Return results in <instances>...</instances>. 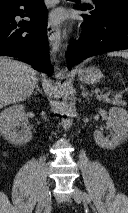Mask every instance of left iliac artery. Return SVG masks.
I'll return each mask as SVG.
<instances>
[{
    "label": "left iliac artery",
    "mask_w": 128,
    "mask_h": 213,
    "mask_svg": "<svg viewBox=\"0 0 128 213\" xmlns=\"http://www.w3.org/2000/svg\"><path fill=\"white\" fill-rule=\"evenodd\" d=\"M82 198H83L84 202H86V203L91 202V198L86 192H82Z\"/></svg>",
    "instance_id": "obj_1"
}]
</instances>
